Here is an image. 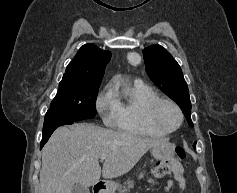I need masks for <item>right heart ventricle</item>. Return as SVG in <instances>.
Returning <instances> with one entry per match:
<instances>
[{
	"label": "right heart ventricle",
	"mask_w": 237,
	"mask_h": 193,
	"mask_svg": "<svg viewBox=\"0 0 237 193\" xmlns=\"http://www.w3.org/2000/svg\"><path fill=\"white\" fill-rule=\"evenodd\" d=\"M159 98L156 91L142 81H134L123 86L115 96L117 112L114 126L119 131L134 136L159 137L166 133L150 126L146 121V109Z\"/></svg>",
	"instance_id": "right-heart-ventricle-1"
}]
</instances>
